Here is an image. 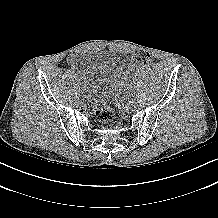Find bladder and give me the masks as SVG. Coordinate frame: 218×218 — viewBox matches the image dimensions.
Returning <instances> with one entry per match:
<instances>
[{
  "label": "bladder",
  "instance_id": "31cf9c89",
  "mask_svg": "<svg viewBox=\"0 0 218 218\" xmlns=\"http://www.w3.org/2000/svg\"><path fill=\"white\" fill-rule=\"evenodd\" d=\"M86 81L91 101L106 102L113 94V88L121 81V61L117 54L100 52L77 56Z\"/></svg>",
  "mask_w": 218,
  "mask_h": 218
}]
</instances>
